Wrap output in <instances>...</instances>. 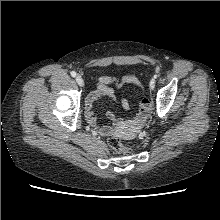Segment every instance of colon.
I'll list each match as a JSON object with an SVG mask.
<instances>
[{"mask_svg": "<svg viewBox=\"0 0 220 220\" xmlns=\"http://www.w3.org/2000/svg\"><path fill=\"white\" fill-rule=\"evenodd\" d=\"M150 110V102L148 99L143 100L142 102V113L147 114ZM108 144L113 151L116 153H129L130 149L123 144V142L115 136H112L108 139Z\"/></svg>", "mask_w": 220, "mask_h": 220, "instance_id": "1", "label": "colon"}]
</instances>
